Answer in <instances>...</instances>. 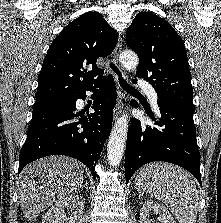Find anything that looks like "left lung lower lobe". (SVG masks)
<instances>
[{
    "mask_svg": "<svg viewBox=\"0 0 221 223\" xmlns=\"http://www.w3.org/2000/svg\"><path fill=\"white\" fill-rule=\"evenodd\" d=\"M131 105L138 107L135 100ZM158 106L161 117L152 126L131 119L125 154L126 184L137 169L153 161L179 165L201 184L200 153L193 121L195 109L163 99H158ZM149 116L156 120L153 115Z\"/></svg>",
    "mask_w": 221,
    "mask_h": 223,
    "instance_id": "left-lung-lower-lobe-1",
    "label": "left lung lower lobe"
}]
</instances>
